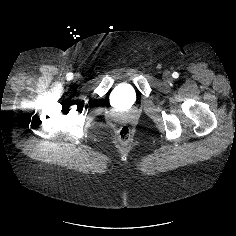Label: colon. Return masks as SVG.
<instances>
[{"label":"colon","instance_id":"obj_1","mask_svg":"<svg viewBox=\"0 0 236 236\" xmlns=\"http://www.w3.org/2000/svg\"><path fill=\"white\" fill-rule=\"evenodd\" d=\"M117 140L121 144H127L131 140V129L127 125H122L117 131Z\"/></svg>","mask_w":236,"mask_h":236}]
</instances>
